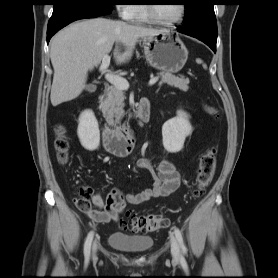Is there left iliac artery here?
<instances>
[{"label":"left iliac artery","mask_w":278,"mask_h":278,"mask_svg":"<svg viewBox=\"0 0 278 278\" xmlns=\"http://www.w3.org/2000/svg\"><path fill=\"white\" fill-rule=\"evenodd\" d=\"M174 232H175V236L179 242V245H180L181 249L183 250L185 248V245H184L182 233L178 228H176Z\"/></svg>","instance_id":"1"}]
</instances>
